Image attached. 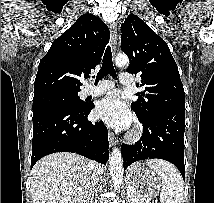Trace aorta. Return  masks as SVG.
<instances>
[{
    "instance_id": "1",
    "label": "aorta",
    "mask_w": 214,
    "mask_h": 203,
    "mask_svg": "<svg viewBox=\"0 0 214 203\" xmlns=\"http://www.w3.org/2000/svg\"><path fill=\"white\" fill-rule=\"evenodd\" d=\"M118 67H126L129 65V59L124 54H119L115 58ZM110 175L115 190L120 189L123 182V160L119 148H113L109 159Z\"/></svg>"
}]
</instances>
